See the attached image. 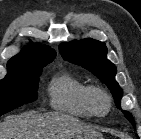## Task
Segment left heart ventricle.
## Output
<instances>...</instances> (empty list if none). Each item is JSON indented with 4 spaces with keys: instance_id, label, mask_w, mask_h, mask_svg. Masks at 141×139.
Segmentation results:
<instances>
[{
    "instance_id": "left-heart-ventricle-1",
    "label": "left heart ventricle",
    "mask_w": 141,
    "mask_h": 139,
    "mask_svg": "<svg viewBox=\"0 0 141 139\" xmlns=\"http://www.w3.org/2000/svg\"><path fill=\"white\" fill-rule=\"evenodd\" d=\"M99 105H100V107H102V105H103V102H102V101H100V102H99Z\"/></svg>"
}]
</instances>
